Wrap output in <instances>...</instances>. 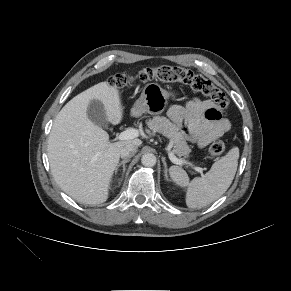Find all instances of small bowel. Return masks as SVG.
Here are the masks:
<instances>
[{
    "instance_id": "obj_1",
    "label": "small bowel",
    "mask_w": 291,
    "mask_h": 291,
    "mask_svg": "<svg viewBox=\"0 0 291 291\" xmlns=\"http://www.w3.org/2000/svg\"><path fill=\"white\" fill-rule=\"evenodd\" d=\"M169 115L199 147H205L230 129V122L210 100L194 98L186 107L174 105L169 109Z\"/></svg>"
}]
</instances>
